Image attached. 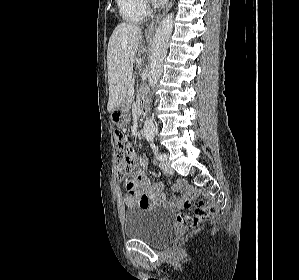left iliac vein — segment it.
Segmentation results:
<instances>
[{"label":"left iliac vein","mask_w":299,"mask_h":280,"mask_svg":"<svg viewBox=\"0 0 299 280\" xmlns=\"http://www.w3.org/2000/svg\"><path fill=\"white\" fill-rule=\"evenodd\" d=\"M160 167L165 173L172 174L174 172L168 160V156L166 154H165V158L160 162Z\"/></svg>","instance_id":"4c4485c4"}]
</instances>
